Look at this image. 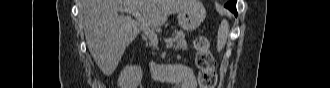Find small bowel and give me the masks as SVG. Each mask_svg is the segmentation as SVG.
<instances>
[{"label": "small bowel", "mask_w": 330, "mask_h": 88, "mask_svg": "<svg viewBox=\"0 0 330 88\" xmlns=\"http://www.w3.org/2000/svg\"><path fill=\"white\" fill-rule=\"evenodd\" d=\"M168 75L173 82H178L181 88H196V79L192 69L181 64L170 65Z\"/></svg>", "instance_id": "1"}]
</instances>
